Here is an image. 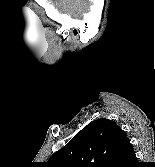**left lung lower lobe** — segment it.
I'll return each instance as SVG.
<instances>
[{
	"label": "left lung lower lobe",
	"mask_w": 155,
	"mask_h": 167,
	"mask_svg": "<svg viewBox=\"0 0 155 167\" xmlns=\"http://www.w3.org/2000/svg\"><path fill=\"white\" fill-rule=\"evenodd\" d=\"M132 158H133V148L130 145L129 141L126 140L121 145L117 162L115 163L114 167L123 166L126 164V161L131 160Z\"/></svg>",
	"instance_id": "0a47b994"
}]
</instances>
